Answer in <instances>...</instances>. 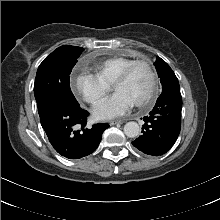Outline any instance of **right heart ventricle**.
<instances>
[{
  "label": "right heart ventricle",
  "mask_w": 220,
  "mask_h": 220,
  "mask_svg": "<svg viewBox=\"0 0 220 220\" xmlns=\"http://www.w3.org/2000/svg\"><path fill=\"white\" fill-rule=\"evenodd\" d=\"M135 60L128 57H113L95 65L96 76L106 84H112L123 70Z\"/></svg>",
  "instance_id": "e07e8e85"
}]
</instances>
